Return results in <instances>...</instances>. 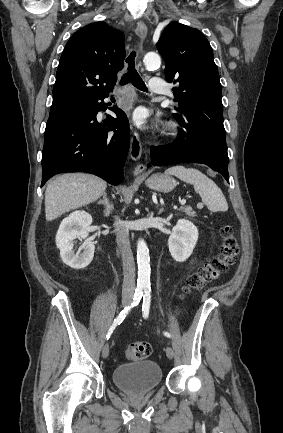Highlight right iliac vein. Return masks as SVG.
Masks as SVG:
<instances>
[{
  "label": "right iliac vein",
  "mask_w": 283,
  "mask_h": 433,
  "mask_svg": "<svg viewBox=\"0 0 283 433\" xmlns=\"http://www.w3.org/2000/svg\"><path fill=\"white\" fill-rule=\"evenodd\" d=\"M130 303H131V298H130L129 296H124V297L122 298V301H121L122 307H126V306H128ZM108 355H109V344L106 343V344L103 346V348H102V356H103L104 358H107Z\"/></svg>",
  "instance_id": "1"
}]
</instances>
